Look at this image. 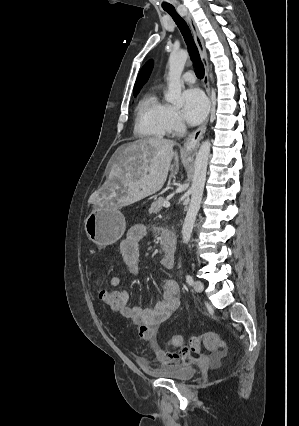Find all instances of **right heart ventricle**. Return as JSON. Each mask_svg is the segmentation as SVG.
<instances>
[{
    "instance_id": "right-heart-ventricle-1",
    "label": "right heart ventricle",
    "mask_w": 299,
    "mask_h": 426,
    "mask_svg": "<svg viewBox=\"0 0 299 426\" xmlns=\"http://www.w3.org/2000/svg\"><path fill=\"white\" fill-rule=\"evenodd\" d=\"M169 105L162 101L153 89L140 100L137 106L135 132L145 138H162L168 132Z\"/></svg>"
}]
</instances>
